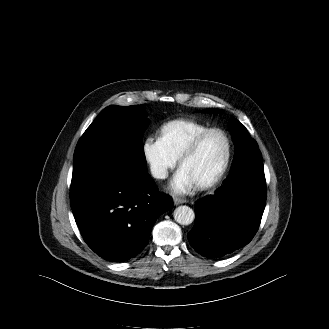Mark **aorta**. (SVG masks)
Returning a JSON list of instances; mask_svg holds the SVG:
<instances>
[{
	"label": "aorta",
	"mask_w": 329,
	"mask_h": 329,
	"mask_svg": "<svg viewBox=\"0 0 329 329\" xmlns=\"http://www.w3.org/2000/svg\"><path fill=\"white\" fill-rule=\"evenodd\" d=\"M173 216L175 221L181 225H189L195 219L194 211L186 205L177 207L174 210Z\"/></svg>",
	"instance_id": "762f6f07"
}]
</instances>
